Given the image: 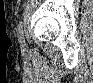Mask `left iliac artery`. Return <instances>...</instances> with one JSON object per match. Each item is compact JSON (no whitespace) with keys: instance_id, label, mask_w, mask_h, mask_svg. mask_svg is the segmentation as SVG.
Masks as SVG:
<instances>
[{"instance_id":"left-iliac-artery-1","label":"left iliac artery","mask_w":93,"mask_h":83,"mask_svg":"<svg viewBox=\"0 0 93 83\" xmlns=\"http://www.w3.org/2000/svg\"><path fill=\"white\" fill-rule=\"evenodd\" d=\"M18 38H19V42L21 44L25 43V39H24V35H23V29H22V22L21 21L18 24Z\"/></svg>"}]
</instances>
